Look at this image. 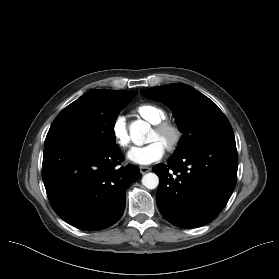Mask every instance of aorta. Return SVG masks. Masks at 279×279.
I'll return each mask as SVG.
<instances>
[{
    "mask_svg": "<svg viewBox=\"0 0 279 279\" xmlns=\"http://www.w3.org/2000/svg\"><path fill=\"white\" fill-rule=\"evenodd\" d=\"M129 129L133 142L142 144L145 135L149 132L150 125L143 120H137L131 123ZM142 184L148 189H155L159 184V178L155 173H147L142 178Z\"/></svg>",
    "mask_w": 279,
    "mask_h": 279,
    "instance_id": "1",
    "label": "aorta"
}]
</instances>
